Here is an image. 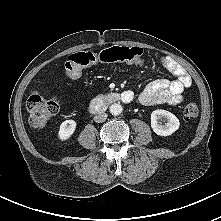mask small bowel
I'll return each mask as SVG.
<instances>
[{
  "instance_id": "1",
  "label": "small bowel",
  "mask_w": 221,
  "mask_h": 221,
  "mask_svg": "<svg viewBox=\"0 0 221 221\" xmlns=\"http://www.w3.org/2000/svg\"><path fill=\"white\" fill-rule=\"evenodd\" d=\"M161 63L174 79H160L147 85L138 97L143 106L178 104L183 100V91L191 85V77L174 59L162 57Z\"/></svg>"
}]
</instances>
